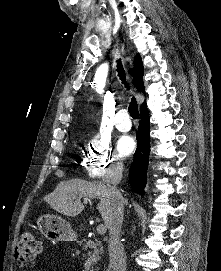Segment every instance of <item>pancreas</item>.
<instances>
[{"label":"pancreas","instance_id":"obj_1","mask_svg":"<svg viewBox=\"0 0 221 271\" xmlns=\"http://www.w3.org/2000/svg\"><path fill=\"white\" fill-rule=\"evenodd\" d=\"M78 243L79 245L93 249V251H89L90 257H87L84 263L85 271H93L94 263H97L101 253H103V245H101L100 241H88L84 237H82Z\"/></svg>","mask_w":221,"mask_h":271}]
</instances>
